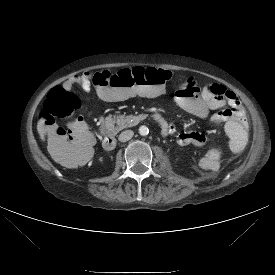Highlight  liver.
Returning a JSON list of instances; mask_svg holds the SVG:
<instances>
[{
	"label": "liver",
	"instance_id": "liver-1",
	"mask_svg": "<svg viewBox=\"0 0 275 275\" xmlns=\"http://www.w3.org/2000/svg\"><path fill=\"white\" fill-rule=\"evenodd\" d=\"M37 131L40 135V138L44 141L45 140V126H44V119L40 118L37 124Z\"/></svg>",
	"mask_w": 275,
	"mask_h": 275
}]
</instances>
